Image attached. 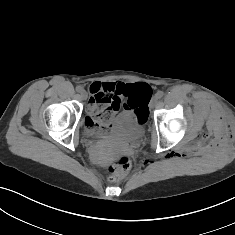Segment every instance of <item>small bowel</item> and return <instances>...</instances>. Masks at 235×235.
I'll return each mask as SVG.
<instances>
[{"mask_svg":"<svg viewBox=\"0 0 235 235\" xmlns=\"http://www.w3.org/2000/svg\"><path fill=\"white\" fill-rule=\"evenodd\" d=\"M134 84L123 82H93L89 86L91 97L88 104V117L108 109L112 117L120 110L121 101L126 97V90ZM126 111L130 109L123 105ZM108 126V124L103 127Z\"/></svg>","mask_w":235,"mask_h":235,"instance_id":"1","label":"small bowel"}]
</instances>
